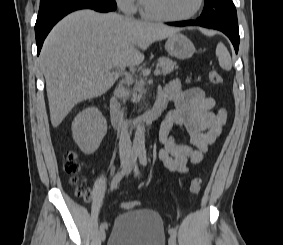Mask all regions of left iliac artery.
Masks as SVG:
<instances>
[{
    "label": "left iliac artery",
    "instance_id": "left-iliac-artery-1",
    "mask_svg": "<svg viewBox=\"0 0 283 245\" xmlns=\"http://www.w3.org/2000/svg\"><path fill=\"white\" fill-rule=\"evenodd\" d=\"M139 161L143 166L147 165V156H146V150L140 149L139 150ZM169 234L176 238L177 236V230L175 228H170L168 230Z\"/></svg>",
    "mask_w": 283,
    "mask_h": 245
}]
</instances>
